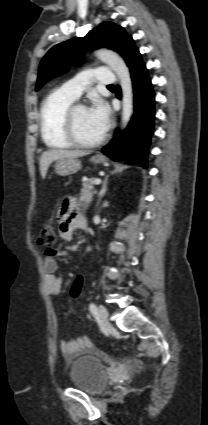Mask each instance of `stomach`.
Listing matches in <instances>:
<instances>
[{"mask_svg":"<svg viewBox=\"0 0 208 425\" xmlns=\"http://www.w3.org/2000/svg\"><path fill=\"white\" fill-rule=\"evenodd\" d=\"M91 161L95 164L105 161L102 157L94 156ZM81 169V162L75 158L59 159L55 163V172L60 176H68L77 173Z\"/></svg>","mask_w":208,"mask_h":425,"instance_id":"stomach-1","label":"stomach"}]
</instances>
